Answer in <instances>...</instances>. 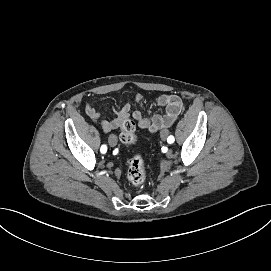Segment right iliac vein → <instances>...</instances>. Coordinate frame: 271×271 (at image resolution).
I'll return each mask as SVG.
<instances>
[{
	"mask_svg": "<svg viewBox=\"0 0 271 271\" xmlns=\"http://www.w3.org/2000/svg\"><path fill=\"white\" fill-rule=\"evenodd\" d=\"M108 141H109V145L111 147H114L117 145L118 139L115 135H110Z\"/></svg>",
	"mask_w": 271,
	"mask_h": 271,
	"instance_id": "right-iliac-vein-1",
	"label": "right iliac vein"
}]
</instances>
